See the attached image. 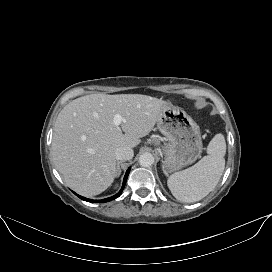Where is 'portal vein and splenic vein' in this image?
Here are the masks:
<instances>
[{
	"label": "portal vein and splenic vein",
	"instance_id": "obj_1",
	"mask_svg": "<svg viewBox=\"0 0 272 272\" xmlns=\"http://www.w3.org/2000/svg\"><path fill=\"white\" fill-rule=\"evenodd\" d=\"M125 121V119L120 115V114H116L115 116H114V120H113V122H114V124L116 125V126H119L122 122H124Z\"/></svg>",
	"mask_w": 272,
	"mask_h": 272
}]
</instances>
